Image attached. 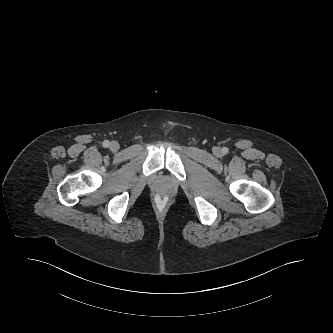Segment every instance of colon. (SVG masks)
Returning a JSON list of instances; mask_svg holds the SVG:
<instances>
[{"label":"colon","instance_id":"obj_1","mask_svg":"<svg viewBox=\"0 0 333 333\" xmlns=\"http://www.w3.org/2000/svg\"><path fill=\"white\" fill-rule=\"evenodd\" d=\"M156 198L159 199V200H162L164 198L163 195H156Z\"/></svg>","mask_w":333,"mask_h":333}]
</instances>
